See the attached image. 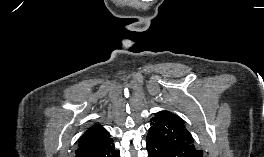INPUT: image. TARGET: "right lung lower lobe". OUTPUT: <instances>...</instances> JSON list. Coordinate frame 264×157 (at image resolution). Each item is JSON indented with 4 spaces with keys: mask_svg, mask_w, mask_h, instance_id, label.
I'll return each mask as SVG.
<instances>
[{
    "mask_svg": "<svg viewBox=\"0 0 264 157\" xmlns=\"http://www.w3.org/2000/svg\"><path fill=\"white\" fill-rule=\"evenodd\" d=\"M75 157H120V152L115 149L113 140L109 139L100 145L76 154Z\"/></svg>",
    "mask_w": 264,
    "mask_h": 157,
    "instance_id": "right-lung-lower-lobe-1",
    "label": "right lung lower lobe"
}]
</instances>
